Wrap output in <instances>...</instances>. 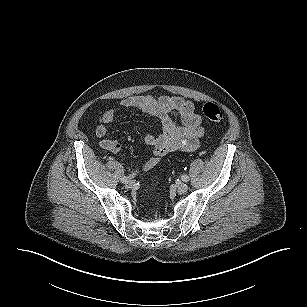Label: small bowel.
Here are the masks:
<instances>
[{
	"instance_id": "1",
	"label": "small bowel",
	"mask_w": 307,
	"mask_h": 307,
	"mask_svg": "<svg viewBox=\"0 0 307 307\" xmlns=\"http://www.w3.org/2000/svg\"><path fill=\"white\" fill-rule=\"evenodd\" d=\"M120 106L141 110L158 119L161 124L158 134L148 133L145 136V143L153 151L151 157L142 164L143 170L154 168L169 153L196 150L205 132L202 118L195 112L193 103L180 96L162 95L155 98L152 95H136L122 99ZM117 113L118 109L113 108L101 114L95 129V135L101 139V147L112 154L120 151V144L105 136L107 125L115 119ZM174 116L180 118L182 125L175 122Z\"/></svg>"
}]
</instances>
